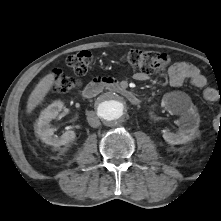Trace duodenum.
I'll list each match as a JSON object with an SVG mask.
<instances>
[{
  "instance_id": "1",
  "label": "duodenum",
  "mask_w": 221,
  "mask_h": 221,
  "mask_svg": "<svg viewBox=\"0 0 221 221\" xmlns=\"http://www.w3.org/2000/svg\"><path fill=\"white\" fill-rule=\"evenodd\" d=\"M106 86H108V88L112 92H114V94L124 97L132 104L139 103V98L136 96V94L133 91L127 88L120 87L112 79H105V78H95L91 82H89L83 89V96L86 99H92L96 97Z\"/></svg>"
}]
</instances>
